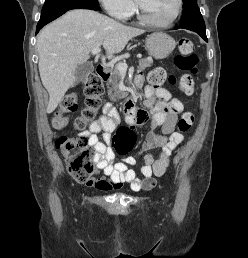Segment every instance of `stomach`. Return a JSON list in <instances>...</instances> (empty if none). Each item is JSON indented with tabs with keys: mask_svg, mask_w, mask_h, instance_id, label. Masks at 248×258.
Listing matches in <instances>:
<instances>
[{
	"mask_svg": "<svg viewBox=\"0 0 248 258\" xmlns=\"http://www.w3.org/2000/svg\"><path fill=\"white\" fill-rule=\"evenodd\" d=\"M176 46L175 40L161 32L149 35L145 41V48L155 59H164L168 57Z\"/></svg>",
	"mask_w": 248,
	"mask_h": 258,
	"instance_id": "stomach-1",
	"label": "stomach"
}]
</instances>
